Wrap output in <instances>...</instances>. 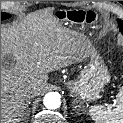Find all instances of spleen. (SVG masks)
<instances>
[{
  "instance_id": "spleen-1",
  "label": "spleen",
  "mask_w": 123,
  "mask_h": 123,
  "mask_svg": "<svg viewBox=\"0 0 123 123\" xmlns=\"http://www.w3.org/2000/svg\"><path fill=\"white\" fill-rule=\"evenodd\" d=\"M114 109L95 105L89 108V115L95 123H123V86L120 88Z\"/></svg>"
}]
</instances>
